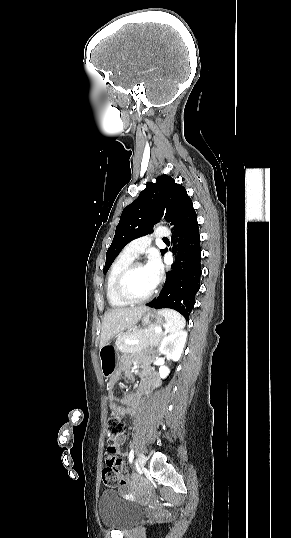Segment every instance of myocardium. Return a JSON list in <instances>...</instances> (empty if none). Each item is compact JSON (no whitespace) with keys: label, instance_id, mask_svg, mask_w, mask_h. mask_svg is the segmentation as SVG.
Masks as SVG:
<instances>
[{"label":"myocardium","instance_id":"obj_1","mask_svg":"<svg viewBox=\"0 0 291 538\" xmlns=\"http://www.w3.org/2000/svg\"><path fill=\"white\" fill-rule=\"evenodd\" d=\"M143 266L141 262L133 261L130 263L118 276L116 280V293L117 296L123 300L124 302H127L128 304H135V303H141L149 300L157 291L158 283L154 285L152 290L142 296V297H135L133 296L129 289H128V280L131 277L132 273L138 268Z\"/></svg>","mask_w":291,"mask_h":538}]
</instances>
